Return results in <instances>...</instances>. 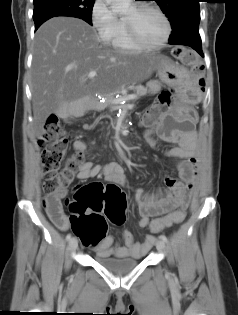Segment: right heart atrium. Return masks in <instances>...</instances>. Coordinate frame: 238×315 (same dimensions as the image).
Wrapping results in <instances>:
<instances>
[{"label":"right heart atrium","instance_id":"d8ad5b80","mask_svg":"<svg viewBox=\"0 0 238 315\" xmlns=\"http://www.w3.org/2000/svg\"><path fill=\"white\" fill-rule=\"evenodd\" d=\"M90 21L99 37L108 41L118 24V18L106 0H94L90 8Z\"/></svg>","mask_w":238,"mask_h":315}]
</instances>
